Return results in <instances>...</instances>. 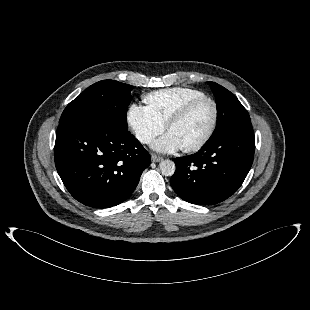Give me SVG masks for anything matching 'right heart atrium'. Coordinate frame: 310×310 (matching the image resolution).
Masks as SVG:
<instances>
[{"label": "right heart atrium", "mask_w": 310, "mask_h": 310, "mask_svg": "<svg viewBox=\"0 0 310 310\" xmlns=\"http://www.w3.org/2000/svg\"><path fill=\"white\" fill-rule=\"evenodd\" d=\"M126 120L135 138L142 144H150L165 130V125L159 122L146 106L140 104L130 105Z\"/></svg>", "instance_id": "d8ad5b80"}]
</instances>
